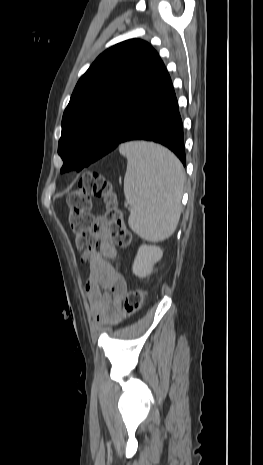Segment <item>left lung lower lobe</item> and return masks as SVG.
<instances>
[{"mask_svg":"<svg viewBox=\"0 0 263 465\" xmlns=\"http://www.w3.org/2000/svg\"><path fill=\"white\" fill-rule=\"evenodd\" d=\"M147 140L160 143L186 164L183 125L170 76L159 58L142 80L135 98L123 105L98 153L89 160L68 156L61 172L81 170L116 149L121 143Z\"/></svg>","mask_w":263,"mask_h":465,"instance_id":"0a47b994","label":"left lung lower lobe"}]
</instances>
